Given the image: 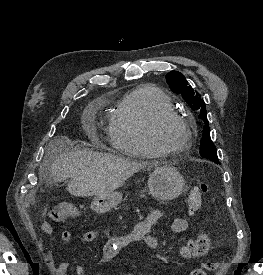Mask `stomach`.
Segmentation results:
<instances>
[{
    "label": "stomach",
    "mask_w": 263,
    "mask_h": 275,
    "mask_svg": "<svg viewBox=\"0 0 263 275\" xmlns=\"http://www.w3.org/2000/svg\"><path fill=\"white\" fill-rule=\"evenodd\" d=\"M185 187L183 176L173 167L159 166L149 175L148 188L150 194L158 200L177 198ZM122 192L113 191L107 196H97L91 208L97 213H105L122 201Z\"/></svg>",
    "instance_id": "stomach-1"
}]
</instances>
